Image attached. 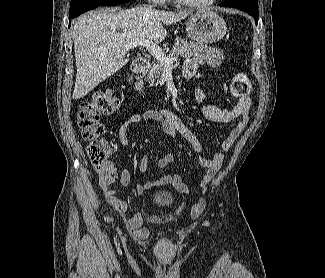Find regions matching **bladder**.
I'll return each mask as SVG.
<instances>
[{"label": "bladder", "mask_w": 325, "mask_h": 278, "mask_svg": "<svg viewBox=\"0 0 325 278\" xmlns=\"http://www.w3.org/2000/svg\"><path fill=\"white\" fill-rule=\"evenodd\" d=\"M174 195L166 190H159L152 194L151 201L159 207L170 206L174 202Z\"/></svg>", "instance_id": "bladder-1"}]
</instances>
